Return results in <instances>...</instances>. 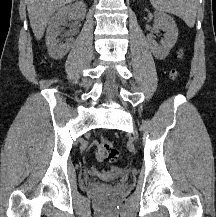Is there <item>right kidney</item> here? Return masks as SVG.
Returning a JSON list of instances; mask_svg holds the SVG:
<instances>
[{
  "label": "right kidney",
  "instance_id": "obj_1",
  "mask_svg": "<svg viewBox=\"0 0 216 217\" xmlns=\"http://www.w3.org/2000/svg\"><path fill=\"white\" fill-rule=\"evenodd\" d=\"M86 15V6L82 2H77L60 8L51 18L47 32L46 45L49 55L54 59H61L71 48L73 38L66 39L65 43H59L58 36L61 26L67 19L83 20Z\"/></svg>",
  "mask_w": 216,
  "mask_h": 217
}]
</instances>
